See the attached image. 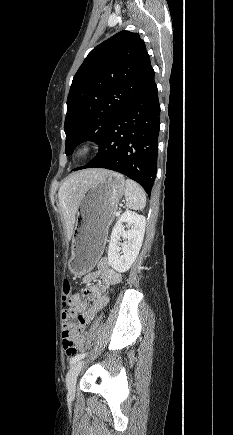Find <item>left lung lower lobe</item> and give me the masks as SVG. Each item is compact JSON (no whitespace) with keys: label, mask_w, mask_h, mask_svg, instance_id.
Returning <instances> with one entry per match:
<instances>
[{"label":"left lung lower lobe","mask_w":233,"mask_h":435,"mask_svg":"<svg viewBox=\"0 0 233 435\" xmlns=\"http://www.w3.org/2000/svg\"><path fill=\"white\" fill-rule=\"evenodd\" d=\"M160 105L154 77L138 97L111 124L99 152L87 165L106 168L138 182L151 194L156 176Z\"/></svg>","instance_id":"1"}]
</instances>
